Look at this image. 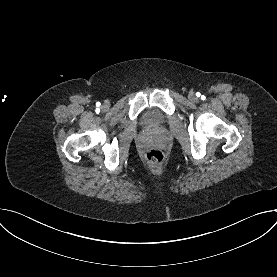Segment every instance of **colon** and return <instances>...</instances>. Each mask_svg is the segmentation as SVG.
<instances>
[{
  "mask_svg": "<svg viewBox=\"0 0 277 277\" xmlns=\"http://www.w3.org/2000/svg\"><path fill=\"white\" fill-rule=\"evenodd\" d=\"M147 162L153 166H159L164 160V154L158 149H152L145 155Z\"/></svg>",
  "mask_w": 277,
  "mask_h": 277,
  "instance_id": "5ec220e1",
  "label": "colon"
}]
</instances>
